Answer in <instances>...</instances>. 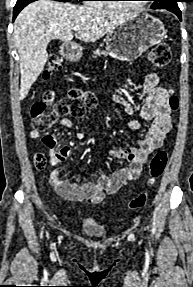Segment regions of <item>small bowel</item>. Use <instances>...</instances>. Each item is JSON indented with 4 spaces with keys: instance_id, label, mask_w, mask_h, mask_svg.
<instances>
[{
    "instance_id": "small-bowel-1",
    "label": "small bowel",
    "mask_w": 193,
    "mask_h": 287,
    "mask_svg": "<svg viewBox=\"0 0 193 287\" xmlns=\"http://www.w3.org/2000/svg\"><path fill=\"white\" fill-rule=\"evenodd\" d=\"M158 83V74L154 71L149 72L145 75L138 90V93L144 96V102L139 111V119H132L128 123L129 127L135 131L146 128L137 145L124 148L117 147L110 151L113 158L124 159L128 165L111 175L104 174L94 181L86 183L64 180L61 171L54 169L50 174V184L59 195L72 201H86L96 204L102 201L106 195L117 192L128 181L139 177L148 156L162 146L167 133L172 128L167 92L164 88L159 87ZM110 102L122 107L128 114L133 113L131 104L122 95H112ZM61 124L69 129L74 127L73 122L67 118L62 119ZM28 135L32 139L41 137L40 131L36 128L31 129ZM76 137L79 140H84L85 134L79 131ZM42 140L44 148L57 149L58 136L44 135ZM70 155L71 148L63 146L50 153V163L52 166L58 167Z\"/></svg>"
}]
</instances>
